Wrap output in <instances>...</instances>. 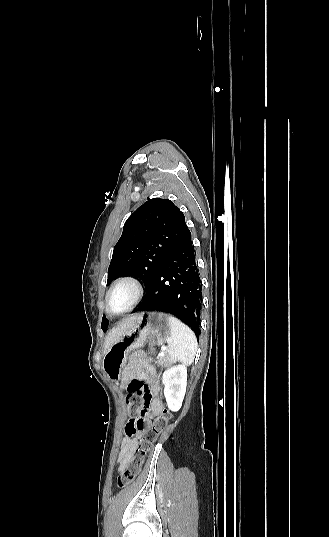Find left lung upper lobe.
<instances>
[{
    "mask_svg": "<svg viewBox=\"0 0 329 537\" xmlns=\"http://www.w3.org/2000/svg\"><path fill=\"white\" fill-rule=\"evenodd\" d=\"M189 235L184 214L173 202L148 200L124 224L113 250L107 285L118 277L134 275L148 291L161 264ZM108 324L103 316L101 328L105 330Z\"/></svg>",
    "mask_w": 329,
    "mask_h": 537,
    "instance_id": "5c2ea615",
    "label": "left lung upper lobe"
}]
</instances>
